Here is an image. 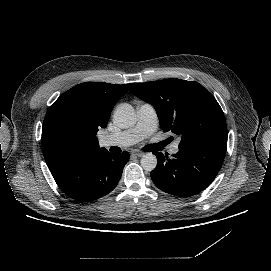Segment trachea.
<instances>
[{"label": "trachea", "instance_id": "obj_1", "mask_svg": "<svg viewBox=\"0 0 271 271\" xmlns=\"http://www.w3.org/2000/svg\"><path fill=\"white\" fill-rule=\"evenodd\" d=\"M172 141V138H168L162 142H159L157 144H152V145H148L145 147V150L147 151H152V149L156 148V147H159V148H163L165 147L166 145H168L170 142Z\"/></svg>", "mask_w": 271, "mask_h": 271}]
</instances>
